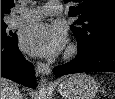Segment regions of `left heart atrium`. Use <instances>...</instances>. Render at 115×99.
I'll return each instance as SVG.
<instances>
[{
  "label": "left heart atrium",
  "instance_id": "obj_1",
  "mask_svg": "<svg viewBox=\"0 0 115 99\" xmlns=\"http://www.w3.org/2000/svg\"><path fill=\"white\" fill-rule=\"evenodd\" d=\"M65 41L63 28L38 22L24 30L20 42L22 48L33 55L53 57L62 51Z\"/></svg>",
  "mask_w": 115,
  "mask_h": 99
}]
</instances>
